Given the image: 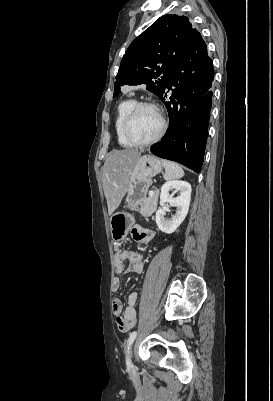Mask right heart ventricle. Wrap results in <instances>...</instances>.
Segmentation results:
<instances>
[{
	"mask_svg": "<svg viewBox=\"0 0 273 401\" xmlns=\"http://www.w3.org/2000/svg\"><path fill=\"white\" fill-rule=\"evenodd\" d=\"M133 96L122 99L115 109L114 129L117 136L118 144L123 148H134L135 146L127 142L122 135V124L127 117L129 111L136 104Z\"/></svg>",
	"mask_w": 273,
	"mask_h": 401,
	"instance_id": "obj_1",
	"label": "right heart ventricle"
}]
</instances>
